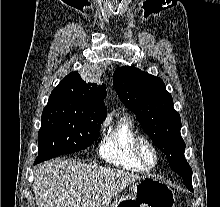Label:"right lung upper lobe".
Instances as JSON below:
<instances>
[{
  "instance_id": "cb5924a9",
  "label": "right lung upper lobe",
  "mask_w": 220,
  "mask_h": 207,
  "mask_svg": "<svg viewBox=\"0 0 220 207\" xmlns=\"http://www.w3.org/2000/svg\"><path fill=\"white\" fill-rule=\"evenodd\" d=\"M53 97H65L79 101L85 108L93 110L106 118L107 111L103 99L106 97V88L102 84L84 80L77 72L68 74L51 95Z\"/></svg>"
}]
</instances>
